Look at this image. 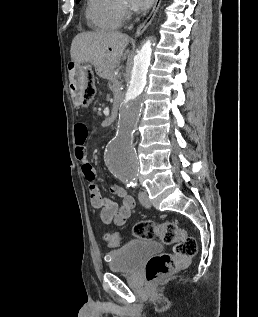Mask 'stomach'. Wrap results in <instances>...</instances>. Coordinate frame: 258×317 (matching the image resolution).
Wrapping results in <instances>:
<instances>
[{
	"label": "stomach",
	"mask_w": 258,
	"mask_h": 317,
	"mask_svg": "<svg viewBox=\"0 0 258 317\" xmlns=\"http://www.w3.org/2000/svg\"><path fill=\"white\" fill-rule=\"evenodd\" d=\"M72 64L76 72H81V70H88V68H90L88 64H83V62H72Z\"/></svg>",
	"instance_id": "1"
}]
</instances>
